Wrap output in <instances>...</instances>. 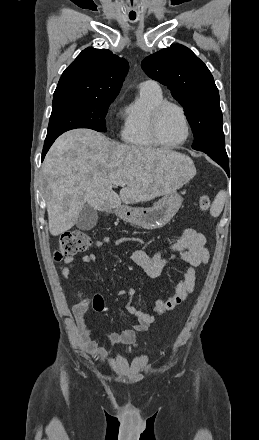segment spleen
Segmentation results:
<instances>
[{
  "mask_svg": "<svg viewBox=\"0 0 259 440\" xmlns=\"http://www.w3.org/2000/svg\"><path fill=\"white\" fill-rule=\"evenodd\" d=\"M226 197H227V195H226L225 191H220L216 195L214 202H213L211 209H210V213L213 217H218L220 215V213L222 212Z\"/></svg>",
  "mask_w": 259,
  "mask_h": 440,
  "instance_id": "spleen-1",
  "label": "spleen"
}]
</instances>
